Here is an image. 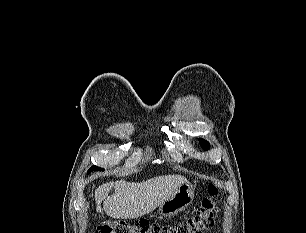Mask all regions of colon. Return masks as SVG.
<instances>
[{"label":"colon","instance_id":"1","mask_svg":"<svg viewBox=\"0 0 306 233\" xmlns=\"http://www.w3.org/2000/svg\"><path fill=\"white\" fill-rule=\"evenodd\" d=\"M207 192L208 197H205L191 216L183 221L172 224H156L145 221L135 223L123 220L106 221L98 226L96 233H201L213 226L219 214L216 200L218 188L209 183Z\"/></svg>","mask_w":306,"mask_h":233}]
</instances>
